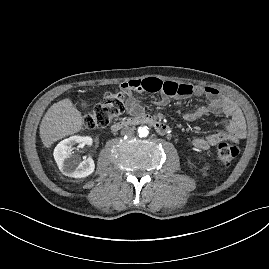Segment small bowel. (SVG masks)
Segmentation results:
<instances>
[{
	"label": "small bowel",
	"instance_id": "1",
	"mask_svg": "<svg viewBox=\"0 0 269 269\" xmlns=\"http://www.w3.org/2000/svg\"><path fill=\"white\" fill-rule=\"evenodd\" d=\"M122 88L127 90L129 97L127 100V111L131 114H141L143 104L132 95L136 93H160L161 96L154 102L157 106L167 105L172 98L186 99L191 96H204L208 104L200 107L194 113L188 114L189 121L199 120L203 116L212 114H223L228 118L227 124L220 132L195 137L192 144L199 151H206L222 141L230 140L238 142L246 136V125L240 109L228 98L224 97L216 88L209 86L179 84L176 82H164L158 78H147L143 80H130L122 84Z\"/></svg>",
	"mask_w": 269,
	"mask_h": 269
}]
</instances>
